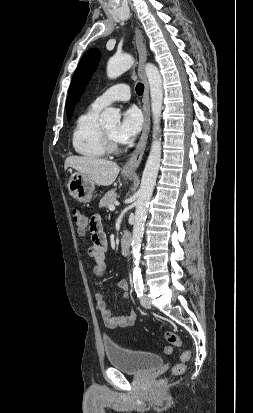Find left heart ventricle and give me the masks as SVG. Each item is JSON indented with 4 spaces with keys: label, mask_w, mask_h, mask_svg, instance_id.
Segmentation results:
<instances>
[{
    "label": "left heart ventricle",
    "mask_w": 253,
    "mask_h": 413,
    "mask_svg": "<svg viewBox=\"0 0 253 413\" xmlns=\"http://www.w3.org/2000/svg\"><path fill=\"white\" fill-rule=\"evenodd\" d=\"M117 124L116 123H111V124H106L104 125V128L115 138V130H116Z\"/></svg>",
    "instance_id": "obj_1"
}]
</instances>
